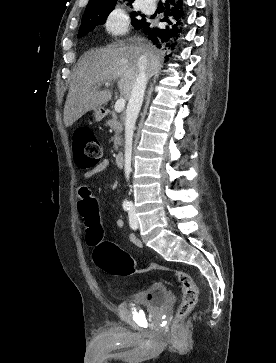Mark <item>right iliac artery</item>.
I'll return each instance as SVG.
<instances>
[{"mask_svg":"<svg viewBox=\"0 0 276 363\" xmlns=\"http://www.w3.org/2000/svg\"><path fill=\"white\" fill-rule=\"evenodd\" d=\"M123 209L125 210V211H129L130 210V208H131V204H130V202L128 201V200H125L124 202H123Z\"/></svg>","mask_w":276,"mask_h":363,"instance_id":"obj_1","label":"right iliac artery"}]
</instances>
